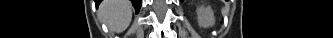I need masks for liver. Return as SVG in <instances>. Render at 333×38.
<instances>
[{"instance_id":"6515ba94","label":"liver","mask_w":333,"mask_h":38,"mask_svg":"<svg viewBox=\"0 0 333 38\" xmlns=\"http://www.w3.org/2000/svg\"><path fill=\"white\" fill-rule=\"evenodd\" d=\"M100 13L113 30L122 31L130 22L132 6L127 0H106L101 4Z\"/></svg>"}]
</instances>
